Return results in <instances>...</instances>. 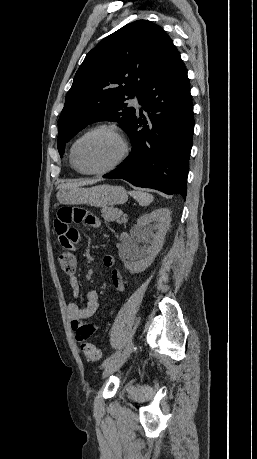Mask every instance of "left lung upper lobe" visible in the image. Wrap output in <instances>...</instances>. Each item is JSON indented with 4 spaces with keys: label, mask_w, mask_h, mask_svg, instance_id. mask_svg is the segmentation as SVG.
<instances>
[{
    "label": "left lung upper lobe",
    "mask_w": 257,
    "mask_h": 459,
    "mask_svg": "<svg viewBox=\"0 0 257 459\" xmlns=\"http://www.w3.org/2000/svg\"><path fill=\"white\" fill-rule=\"evenodd\" d=\"M175 46L158 25L137 20L99 42L75 74L58 121L57 147L88 124L117 121L126 131L136 115L126 100L139 98Z\"/></svg>",
    "instance_id": "left-lung-upper-lobe-1"
}]
</instances>
